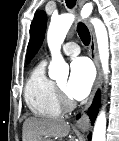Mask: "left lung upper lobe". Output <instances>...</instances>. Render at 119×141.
<instances>
[{
  "mask_svg": "<svg viewBox=\"0 0 119 141\" xmlns=\"http://www.w3.org/2000/svg\"><path fill=\"white\" fill-rule=\"evenodd\" d=\"M46 15L43 11L37 13L30 26V41L27 48V63L32 59L35 53L41 46L45 30H46Z\"/></svg>",
  "mask_w": 119,
  "mask_h": 141,
  "instance_id": "5c2ea615",
  "label": "left lung upper lobe"
}]
</instances>
